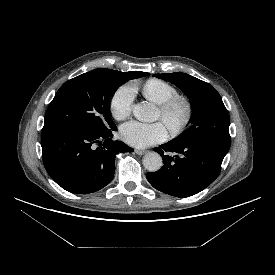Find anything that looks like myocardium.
<instances>
[{
	"instance_id": "myocardium-1",
	"label": "myocardium",
	"mask_w": 275,
	"mask_h": 275,
	"mask_svg": "<svg viewBox=\"0 0 275 275\" xmlns=\"http://www.w3.org/2000/svg\"><path fill=\"white\" fill-rule=\"evenodd\" d=\"M178 106L183 107L185 114L178 125L169 128V132L173 136L182 133L191 122L193 117V105L189 98L183 95H176L167 100L166 102L162 103L161 105H159V111L162 113L164 117L171 113Z\"/></svg>"
}]
</instances>
